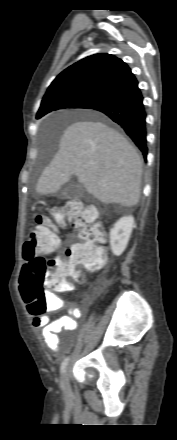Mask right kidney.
<instances>
[{"mask_svg": "<svg viewBox=\"0 0 177 440\" xmlns=\"http://www.w3.org/2000/svg\"><path fill=\"white\" fill-rule=\"evenodd\" d=\"M135 226L133 216L119 219L110 230V246L114 255H121L127 247L132 230Z\"/></svg>", "mask_w": 177, "mask_h": 440, "instance_id": "right-kidney-1", "label": "right kidney"}]
</instances>
